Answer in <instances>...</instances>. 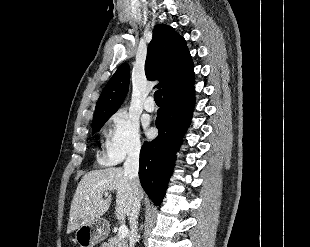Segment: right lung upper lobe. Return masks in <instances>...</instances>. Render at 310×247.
Listing matches in <instances>:
<instances>
[{"instance_id": "cb5924a9", "label": "right lung upper lobe", "mask_w": 310, "mask_h": 247, "mask_svg": "<svg viewBox=\"0 0 310 247\" xmlns=\"http://www.w3.org/2000/svg\"><path fill=\"white\" fill-rule=\"evenodd\" d=\"M191 55L185 40L172 27L156 25L148 45L145 74L149 80H159L163 96L185 88L194 82ZM130 69L122 64L103 89L95 108L93 122L113 115L122 104L129 86Z\"/></svg>"}]
</instances>
